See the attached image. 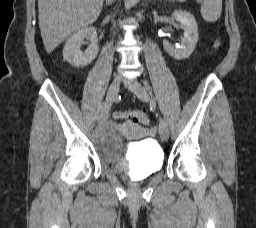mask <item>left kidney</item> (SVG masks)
<instances>
[{"label":"left kidney","instance_id":"obj_1","mask_svg":"<svg viewBox=\"0 0 256 228\" xmlns=\"http://www.w3.org/2000/svg\"><path fill=\"white\" fill-rule=\"evenodd\" d=\"M172 17L180 23L184 30V38L180 46H173L168 40L163 41L166 52L177 60L188 58L194 51L198 41V30L195 17L187 11H174Z\"/></svg>","mask_w":256,"mask_h":228}]
</instances>
